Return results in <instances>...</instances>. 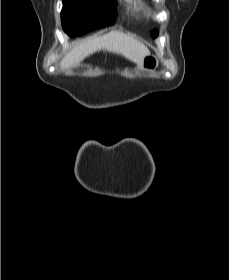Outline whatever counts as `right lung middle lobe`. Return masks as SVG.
Returning a JSON list of instances; mask_svg holds the SVG:
<instances>
[{
  "instance_id": "right-lung-middle-lobe-1",
  "label": "right lung middle lobe",
  "mask_w": 229,
  "mask_h": 280,
  "mask_svg": "<svg viewBox=\"0 0 229 280\" xmlns=\"http://www.w3.org/2000/svg\"><path fill=\"white\" fill-rule=\"evenodd\" d=\"M117 11L114 0H63L61 22L71 37L112 25Z\"/></svg>"
}]
</instances>
